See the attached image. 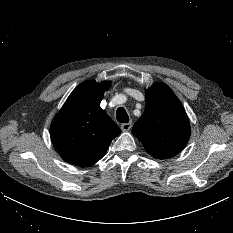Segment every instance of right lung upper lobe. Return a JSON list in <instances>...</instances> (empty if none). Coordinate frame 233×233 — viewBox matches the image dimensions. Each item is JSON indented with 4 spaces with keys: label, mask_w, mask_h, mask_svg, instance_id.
Returning a JSON list of instances; mask_svg holds the SVG:
<instances>
[{
    "label": "right lung upper lobe",
    "mask_w": 233,
    "mask_h": 233,
    "mask_svg": "<svg viewBox=\"0 0 233 233\" xmlns=\"http://www.w3.org/2000/svg\"><path fill=\"white\" fill-rule=\"evenodd\" d=\"M109 81H85L78 85L54 117L50 126L51 141L68 163L90 166L106 153L120 128L100 107Z\"/></svg>",
    "instance_id": "1"
}]
</instances>
